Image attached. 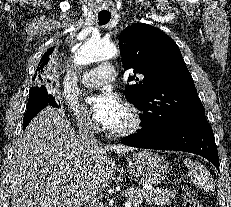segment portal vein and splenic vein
<instances>
[{
    "label": "portal vein and splenic vein",
    "mask_w": 231,
    "mask_h": 207,
    "mask_svg": "<svg viewBox=\"0 0 231 207\" xmlns=\"http://www.w3.org/2000/svg\"><path fill=\"white\" fill-rule=\"evenodd\" d=\"M134 204L133 203H131V202H126L125 203V207H132ZM135 206H136V204H135Z\"/></svg>",
    "instance_id": "portal-vein-and-splenic-vein-1"
}]
</instances>
